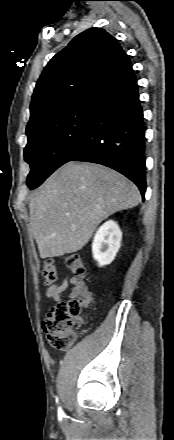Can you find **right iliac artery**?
Returning <instances> with one entry per match:
<instances>
[{
    "instance_id": "right-iliac-artery-1",
    "label": "right iliac artery",
    "mask_w": 174,
    "mask_h": 440,
    "mask_svg": "<svg viewBox=\"0 0 174 440\" xmlns=\"http://www.w3.org/2000/svg\"><path fill=\"white\" fill-rule=\"evenodd\" d=\"M58 413H59V414L63 413L61 407L58 408Z\"/></svg>"
}]
</instances>
